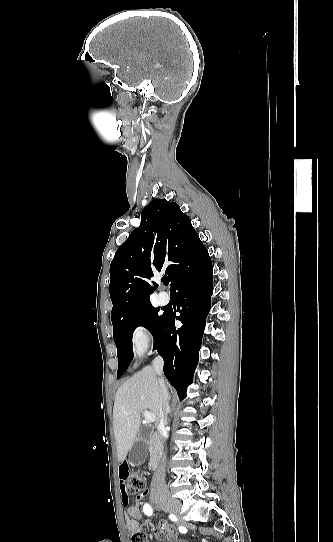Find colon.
Instances as JSON below:
<instances>
[{
    "label": "colon",
    "mask_w": 333,
    "mask_h": 542,
    "mask_svg": "<svg viewBox=\"0 0 333 542\" xmlns=\"http://www.w3.org/2000/svg\"><path fill=\"white\" fill-rule=\"evenodd\" d=\"M128 489L130 493H140L145 491V479L140 474L132 471L131 477H128ZM130 509H133V506H130ZM149 538L146 532L144 531H135L132 536V542H148ZM202 542H207L208 540L202 539Z\"/></svg>",
    "instance_id": "5ec220e1"
}]
</instances>
